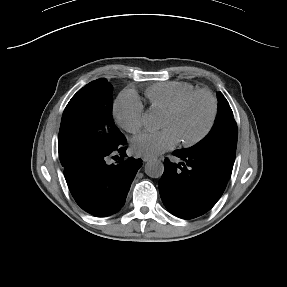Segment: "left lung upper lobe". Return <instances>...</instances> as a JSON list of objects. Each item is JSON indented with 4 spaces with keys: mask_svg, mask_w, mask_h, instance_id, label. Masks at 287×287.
I'll return each mask as SVG.
<instances>
[{
    "mask_svg": "<svg viewBox=\"0 0 287 287\" xmlns=\"http://www.w3.org/2000/svg\"><path fill=\"white\" fill-rule=\"evenodd\" d=\"M217 98L218 113L213 128L203 140L185 150L200 154L229 178L235 161L237 125L226 98L221 92Z\"/></svg>",
    "mask_w": 287,
    "mask_h": 287,
    "instance_id": "left-lung-upper-lobe-1",
    "label": "left lung upper lobe"
}]
</instances>
